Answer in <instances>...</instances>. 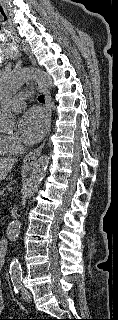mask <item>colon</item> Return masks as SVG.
Wrapping results in <instances>:
<instances>
[{"instance_id": "1", "label": "colon", "mask_w": 118, "mask_h": 320, "mask_svg": "<svg viewBox=\"0 0 118 320\" xmlns=\"http://www.w3.org/2000/svg\"><path fill=\"white\" fill-rule=\"evenodd\" d=\"M0 320H10V319H3V318H0ZM26 320H40V319H26Z\"/></svg>"}]
</instances>
